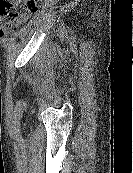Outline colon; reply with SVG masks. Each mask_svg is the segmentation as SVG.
Here are the masks:
<instances>
[{
    "label": "colon",
    "mask_w": 133,
    "mask_h": 173,
    "mask_svg": "<svg viewBox=\"0 0 133 173\" xmlns=\"http://www.w3.org/2000/svg\"><path fill=\"white\" fill-rule=\"evenodd\" d=\"M58 0H0V35L15 28L20 16L35 13Z\"/></svg>",
    "instance_id": "1"
}]
</instances>
